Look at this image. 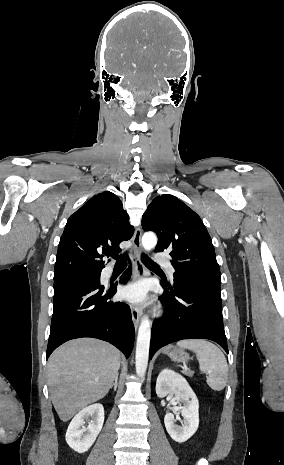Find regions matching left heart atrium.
Segmentation results:
<instances>
[{
	"instance_id": "1",
	"label": "left heart atrium",
	"mask_w": 284,
	"mask_h": 465,
	"mask_svg": "<svg viewBox=\"0 0 284 465\" xmlns=\"http://www.w3.org/2000/svg\"><path fill=\"white\" fill-rule=\"evenodd\" d=\"M147 289L143 283L128 286L123 291V297L129 302L138 303L146 298Z\"/></svg>"
}]
</instances>
